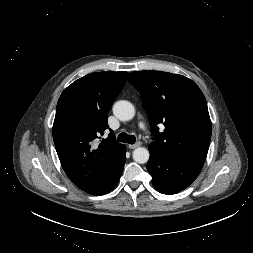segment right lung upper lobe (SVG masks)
I'll return each instance as SVG.
<instances>
[{"mask_svg": "<svg viewBox=\"0 0 253 253\" xmlns=\"http://www.w3.org/2000/svg\"><path fill=\"white\" fill-rule=\"evenodd\" d=\"M127 72H96L68 86L61 94L53 124V139L61 165L70 180L87 192L108 173L125 146L109 128V109L122 91ZM112 132V130H111Z\"/></svg>", "mask_w": 253, "mask_h": 253, "instance_id": "1", "label": "right lung upper lobe"}]
</instances>
